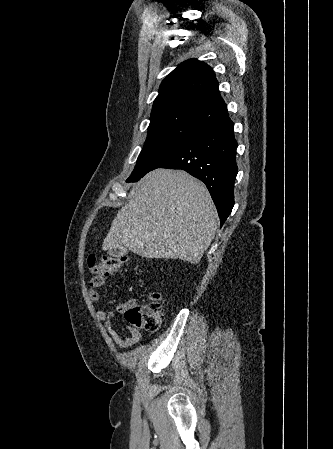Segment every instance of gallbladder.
Wrapping results in <instances>:
<instances>
[{
	"instance_id": "1",
	"label": "gallbladder",
	"mask_w": 333,
	"mask_h": 449,
	"mask_svg": "<svg viewBox=\"0 0 333 449\" xmlns=\"http://www.w3.org/2000/svg\"><path fill=\"white\" fill-rule=\"evenodd\" d=\"M128 249L123 246H115L108 250V254L112 257H122L127 254Z\"/></svg>"
}]
</instances>
